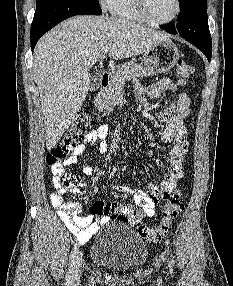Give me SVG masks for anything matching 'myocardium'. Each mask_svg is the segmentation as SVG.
I'll return each instance as SVG.
<instances>
[{
	"mask_svg": "<svg viewBox=\"0 0 233 286\" xmlns=\"http://www.w3.org/2000/svg\"><path fill=\"white\" fill-rule=\"evenodd\" d=\"M135 5L138 9V11L140 12V14L146 19L147 22L153 24V25H165L168 23H171L172 21H174L180 14L181 11V2L180 0H175L176 2V10L174 12V14L169 17L168 19L165 20H155L153 19L147 10V6H146V0H134Z\"/></svg>",
	"mask_w": 233,
	"mask_h": 286,
	"instance_id": "f54148a6",
	"label": "myocardium"
}]
</instances>
